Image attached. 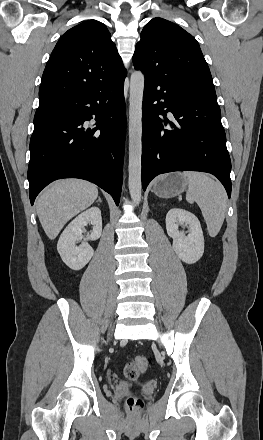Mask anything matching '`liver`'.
I'll list each match as a JSON object with an SVG mask.
<instances>
[{
  "label": "liver",
  "mask_w": 263,
  "mask_h": 440,
  "mask_svg": "<svg viewBox=\"0 0 263 440\" xmlns=\"http://www.w3.org/2000/svg\"><path fill=\"white\" fill-rule=\"evenodd\" d=\"M97 197V187L84 180L65 179L47 187L37 200L36 210L49 239H55L63 226Z\"/></svg>",
  "instance_id": "liver-1"
}]
</instances>
